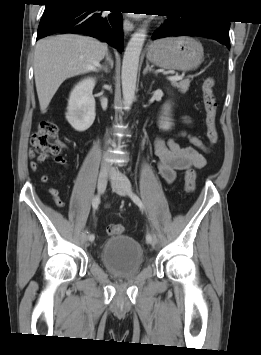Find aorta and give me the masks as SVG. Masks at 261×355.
<instances>
[{
	"label": "aorta",
	"mask_w": 261,
	"mask_h": 355,
	"mask_svg": "<svg viewBox=\"0 0 261 355\" xmlns=\"http://www.w3.org/2000/svg\"><path fill=\"white\" fill-rule=\"evenodd\" d=\"M146 36V27L140 28L132 35L124 52L121 79L123 99L127 106H130L135 98L139 57Z\"/></svg>",
	"instance_id": "1"
}]
</instances>
